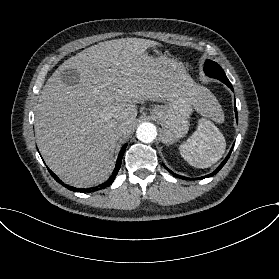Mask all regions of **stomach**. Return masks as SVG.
<instances>
[{
    "instance_id": "1",
    "label": "stomach",
    "mask_w": 279,
    "mask_h": 279,
    "mask_svg": "<svg viewBox=\"0 0 279 279\" xmlns=\"http://www.w3.org/2000/svg\"><path fill=\"white\" fill-rule=\"evenodd\" d=\"M159 59L168 61L170 65L179 69L183 74L186 73L181 62L168 60L163 55ZM159 107L151 109L150 115L161 123V140L164 144L170 145L177 139L183 137L189 127L188 117L193 109L188 98L183 96L181 84L174 87Z\"/></svg>"
}]
</instances>
